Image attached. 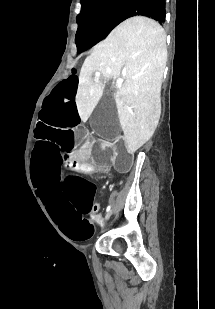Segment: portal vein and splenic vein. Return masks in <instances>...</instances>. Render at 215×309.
I'll list each match as a JSON object with an SVG mask.
<instances>
[{"label": "portal vein and splenic vein", "instance_id": "18ae733b", "mask_svg": "<svg viewBox=\"0 0 215 309\" xmlns=\"http://www.w3.org/2000/svg\"><path fill=\"white\" fill-rule=\"evenodd\" d=\"M95 74L96 76H100L101 72H95ZM116 82H117V86H122L124 82V78H117Z\"/></svg>", "mask_w": 215, "mask_h": 309}]
</instances>
